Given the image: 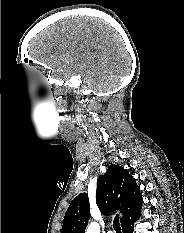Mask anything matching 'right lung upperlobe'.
Masks as SVG:
<instances>
[{"mask_svg":"<svg viewBox=\"0 0 184 233\" xmlns=\"http://www.w3.org/2000/svg\"><path fill=\"white\" fill-rule=\"evenodd\" d=\"M96 203L104 214L119 210L123 214L122 225L140 212L142 197L131 174L123 167L111 164L98 180ZM89 219L88 195L80 193L65 213L61 233H85Z\"/></svg>","mask_w":184,"mask_h":233,"instance_id":"obj_1","label":"right lung upper lobe"}]
</instances>
